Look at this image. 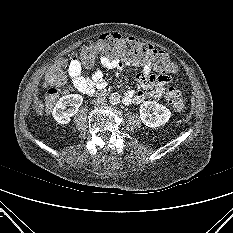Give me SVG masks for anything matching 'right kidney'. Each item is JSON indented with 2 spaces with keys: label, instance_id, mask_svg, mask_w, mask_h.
I'll list each match as a JSON object with an SVG mask.
<instances>
[{
  "label": "right kidney",
  "instance_id": "ca27d5eb",
  "mask_svg": "<svg viewBox=\"0 0 233 233\" xmlns=\"http://www.w3.org/2000/svg\"><path fill=\"white\" fill-rule=\"evenodd\" d=\"M83 102L79 94H70L61 97L53 109V117L59 124H67L70 118L75 115ZM70 106L68 109L67 107Z\"/></svg>",
  "mask_w": 233,
  "mask_h": 233
}]
</instances>
